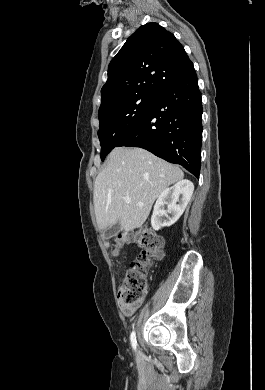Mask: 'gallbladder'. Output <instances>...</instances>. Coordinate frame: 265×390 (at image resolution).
I'll use <instances>...</instances> for the list:
<instances>
[{
    "instance_id": "obj_1",
    "label": "gallbladder",
    "mask_w": 265,
    "mask_h": 390,
    "mask_svg": "<svg viewBox=\"0 0 265 390\" xmlns=\"http://www.w3.org/2000/svg\"><path fill=\"white\" fill-rule=\"evenodd\" d=\"M120 231V222L117 221L113 225L109 226L105 231H104V236L108 239L113 236H115L118 232Z\"/></svg>"
}]
</instances>
